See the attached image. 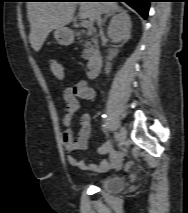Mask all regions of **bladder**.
Returning a JSON list of instances; mask_svg holds the SVG:
<instances>
[{
    "label": "bladder",
    "instance_id": "1",
    "mask_svg": "<svg viewBox=\"0 0 188 213\" xmlns=\"http://www.w3.org/2000/svg\"><path fill=\"white\" fill-rule=\"evenodd\" d=\"M125 182L120 177H105L100 179L99 188L107 193H118L123 190Z\"/></svg>",
    "mask_w": 188,
    "mask_h": 213
}]
</instances>
